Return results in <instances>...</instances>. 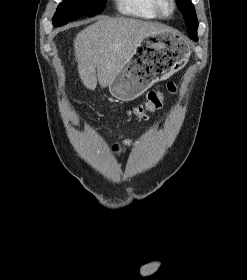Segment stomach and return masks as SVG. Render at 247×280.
Segmentation results:
<instances>
[{
  "label": "stomach",
  "instance_id": "stomach-1",
  "mask_svg": "<svg viewBox=\"0 0 247 280\" xmlns=\"http://www.w3.org/2000/svg\"><path fill=\"white\" fill-rule=\"evenodd\" d=\"M189 56L190 48L180 35L170 31L151 34L120 67L109 91L118 100L131 101L180 70Z\"/></svg>",
  "mask_w": 247,
  "mask_h": 280
}]
</instances>
